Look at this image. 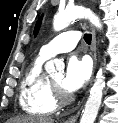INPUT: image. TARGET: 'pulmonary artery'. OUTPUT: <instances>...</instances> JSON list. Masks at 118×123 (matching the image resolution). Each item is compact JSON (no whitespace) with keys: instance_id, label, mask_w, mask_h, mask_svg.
<instances>
[{"instance_id":"e3ab8cb5","label":"pulmonary artery","mask_w":118,"mask_h":123,"mask_svg":"<svg viewBox=\"0 0 118 123\" xmlns=\"http://www.w3.org/2000/svg\"><path fill=\"white\" fill-rule=\"evenodd\" d=\"M80 38L81 33L77 30L63 32L42 46L40 55L51 58L59 53L69 52L75 48Z\"/></svg>"}]
</instances>
